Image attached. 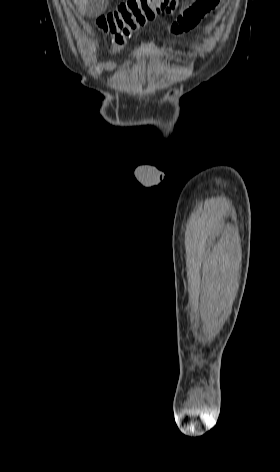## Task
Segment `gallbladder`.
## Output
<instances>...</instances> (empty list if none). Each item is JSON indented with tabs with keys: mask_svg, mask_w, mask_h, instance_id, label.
<instances>
[{
	"mask_svg": "<svg viewBox=\"0 0 280 472\" xmlns=\"http://www.w3.org/2000/svg\"><path fill=\"white\" fill-rule=\"evenodd\" d=\"M108 7V0H89L86 6L87 16L97 18L103 14Z\"/></svg>",
	"mask_w": 280,
	"mask_h": 472,
	"instance_id": "obj_1",
	"label": "gallbladder"
}]
</instances>
